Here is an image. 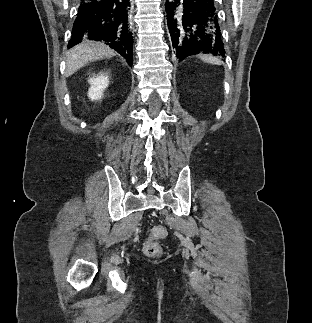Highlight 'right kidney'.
<instances>
[{
  "instance_id": "ca27d5eb",
  "label": "right kidney",
  "mask_w": 312,
  "mask_h": 323,
  "mask_svg": "<svg viewBox=\"0 0 312 323\" xmlns=\"http://www.w3.org/2000/svg\"><path fill=\"white\" fill-rule=\"evenodd\" d=\"M88 82L91 84L88 92L89 100H92V102L93 100H101L102 96H104L103 92L105 88H108V76H105V74H97L94 78H90Z\"/></svg>"
}]
</instances>
